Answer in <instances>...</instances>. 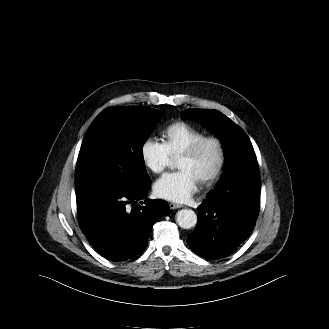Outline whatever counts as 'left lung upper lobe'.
I'll return each mask as SVG.
<instances>
[{
  "instance_id": "5c2ea615",
  "label": "left lung upper lobe",
  "mask_w": 329,
  "mask_h": 329,
  "mask_svg": "<svg viewBox=\"0 0 329 329\" xmlns=\"http://www.w3.org/2000/svg\"><path fill=\"white\" fill-rule=\"evenodd\" d=\"M183 119L200 121L210 127L226 148V163L221 179L206 198L221 200L226 195V185L234 183L258 165L253 146L246 133L231 119L217 110L187 109L182 113Z\"/></svg>"
}]
</instances>
